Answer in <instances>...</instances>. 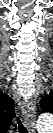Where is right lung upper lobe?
Returning a JSON list of instances; mask_svg holds the SVG:
<instances>
[{"mask_svg":"<svg viewBox=\"0 0 53 133\" xmlns=\"http://www.w3.org/2000/svg\"><path fill=\"white\" fill-rule=\"evenodd\" d=\"M15 117L13 100L6 94H0V127L6 132Z\"/></svg>","mask_w":53,"mask_h":133,"instance_id":"cb5924a9","label":"right lung upper lobe"}]
</instances>
